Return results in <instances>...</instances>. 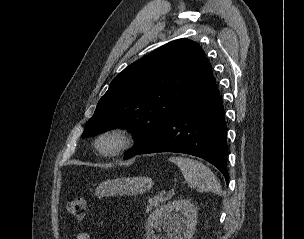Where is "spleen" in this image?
<instances>
[{
    "instance_id": "spleen-1",
    "label": "spleen",
    "mask_w": 304,
    "mask_h": 239,
    "mask_svg": "<svg viewBox=\"0 0 304 239\" xmlns=\"http://www.w3.org/2000/svg\"><path fill=\"white\" fill-rule=\"evenodd\" d=\"M169 161L180 168L190 188H196L199 192H213L217 195L222 193L214 173L201 162L184 157H171Z\"/></svg>"
}]
</instances>
